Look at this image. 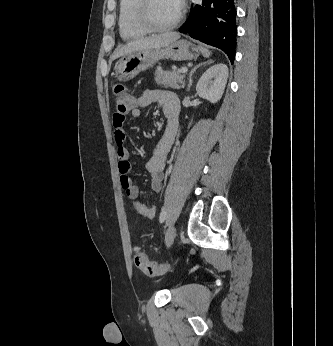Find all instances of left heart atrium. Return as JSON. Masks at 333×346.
I'll return each mask as SVG.
<instances>
[{
    "label": "left heart atrium",
    "instance_id": "1",
    "mask_svg": "<svg viewBox=\"0 0 333 346\" xmlns=\"http://www.w3.org/2000/svg\"><path fill=\"white\" fill-rule=\"evenodd\" d=\"M174 1L178 6L180 5L181 0H174Z\"/></svg>",
    "mask_w": 333,
    "mask_h": 346
}]
</instances>
